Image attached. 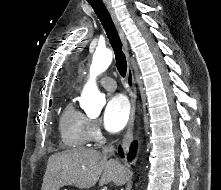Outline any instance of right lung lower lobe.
<instances>
[{
    "label": "right lung lower lobe",
    "mask_w": 221,
    "mask_h": 190,
    "mask_svg": "<svg viewBox=\"0 0 221 190\" xmlns=\"http://www.w3.org/2000/svg\"><path fill=\"white\" fill-rule=\"evenodd\" d=\"M136 148H137V145H136V142H134L130 147V152H129V156H128L129 161H131L134 158ZM119 154L123 157V152L120 148H119Z\"/></svg>",
    "instance_id": "obj_1"
}]
</instances>
